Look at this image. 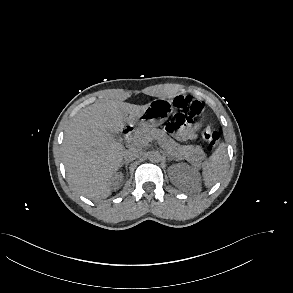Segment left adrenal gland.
I'll use <instances>...</instances> for the list:
<instances>
[{"instance_id": "1", "label": "left adrenal gland", "mask_w": 293, "mask_h": 293, "mask_svg": "<svg viewBox=\"0 0 293 293\" xmlns=\"http://www.w3.org/2000/svg\"><path fill=\"white\" fill-rule=\"evenodd\" d=\"M168 158V161H172V160H176V159H174V158H171L170 156H167Z\"/></svg>"}]
</instances>
